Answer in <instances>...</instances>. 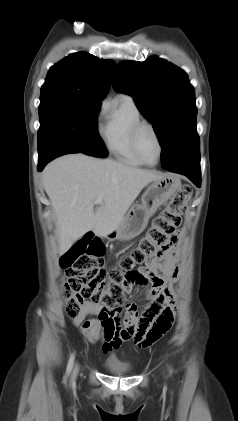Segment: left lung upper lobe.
I'll use <instances>...</instances> for the list:
<instances>
[{"instance_id": "obj_1", "label": "left lung upper lobe", "mask_w": 238, "mask_h": 421, "mask_svg": "<svg viewBox=\"0 0 238 421\" xmlns=\"http://www.w3.org/2000/svg\"><path fill=\"white\" fill-rule=\"evenodd\" d=\"M113 87L133 96L152 123L164 168L199 146L194 88L183 70L156 56L142 63L126 61L118 66Z\"/></svg>"}]
</instances>
